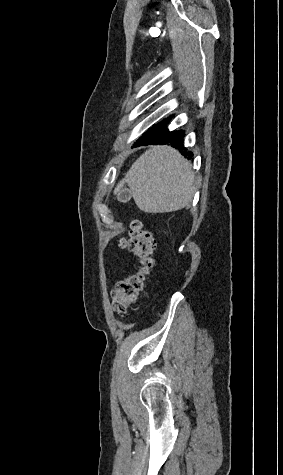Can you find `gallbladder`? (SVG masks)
I'll list each match as a JSON object with an SVG mask.
<instances>
[{
  "label": "gallbladder",
  "mask_w": 283,
  "mask_h": 475,
  "mask_svg": "<svg viewBox=\"0 0 283 475\" xmlns=\"http://www.w3.org/2000/svg\"><path fill=\"white\" fill-rule=\"evenodd\" d=\"M119 202H123V204H126V202H129L131 198V192L130 190H121L117 196Z\"/></svg>",
  "instance_id": "obj_1"
}]
</instances>
